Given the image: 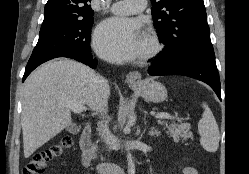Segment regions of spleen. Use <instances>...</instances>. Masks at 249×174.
Segmentation results:
<instances>
[{
	"mask_svg": "<svg viewBox=\"0 0 249 174\" xmlns=\"http://www.w3.org/2000/svg\"><path fill=\"white\" fill-rule=\"evenodd\" d=\"M202 106L204 112L198 123L200 143L206 151L214 153L217 151L220 141L218 124L207 104L203 103Z\"/></svg>",
	"mask_w": 249,
	"mask_h": 174,
	"instance_id": "3e777b00",
	"label": "spleen"
}]
</instances>
